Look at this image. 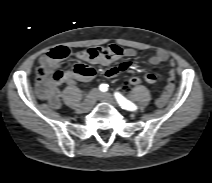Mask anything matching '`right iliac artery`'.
<instances>
[{"instance_id":"1","label":"right iliac artery","mask_w":212,"mask_h":183,"mask_svg":"<svg viewBox=\"0 0 212 183\" xmlns=\"http://www.w3.org/2000/svg\"><path fill=\"white\" fill-rule=\"evenodd\" d=\"M99 89L102 91V92H105L108 90V85L107 84H101L99 86Z\"/></svg>"}]
</instances>
